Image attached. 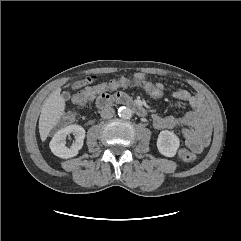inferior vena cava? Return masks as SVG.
Segmentation results:
<instances>
[{
	"label": "inferior vena cava",
	"mask_w": 241,
	"mask_h": 241,
	"mask_svg": "<svg viewBox=\"0 0 241 241\" xmlns=\"http://www.w3.org/2000/svg\"><path fill=\"white\" fill-rule=\"evenodd\" d=\"M115 110L112 107H105L100 115L103 119H110L114 116Z\"/></svg>",
	"instance_id": "obj_1"
}]
</instances>
